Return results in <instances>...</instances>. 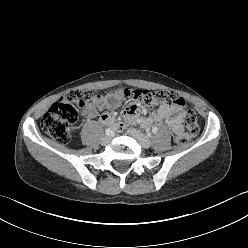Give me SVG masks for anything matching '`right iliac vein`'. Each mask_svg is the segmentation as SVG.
<instances>
[{
    "instance_id": "1",
    "label": "right iliac vein",
    "mask_w": 248,
    "mask_h": 248,
    "mask_svg": "<svg viewBox=\"0 0 248 248\" xmlns=\"http://www.w3.org/2000/svg\"><path fill=\"white\" fill-rule=\"evenodd\" d=\"M111 140V137L110 136H104L102 139H101V144L102 145H107Z\"/></svg>"
}]
</instances>
